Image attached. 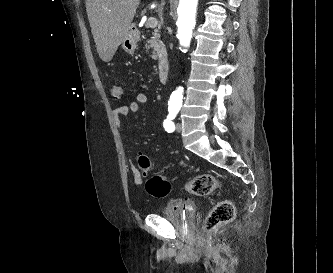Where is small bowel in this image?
<instances>
[{
	"mask_svg": "<svg viewBox=\"0 0 333 273\" xmlns=\"http://www.w3.org/2000/svg\"><path fill=\"white\" fill-rule=\"evenodd\" d=\"M149 100V96L145 92H140L136 94L135 99L129 104H122L114 108L113 110V120L117 127L122 125V119L129 114L137 113L141 106L145 105ZM141 154L137 155V162ZM130 170L132 174L133 181L136 185H142L144 181V174L138 166L131 163Z\"/></svg>",
	"mask_w": 333,
	"mask_h": 273,
	"instance_id": "small-bowel-1",
	"label": "small bowel"
}]
</instances>
